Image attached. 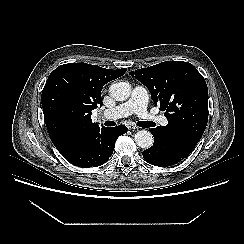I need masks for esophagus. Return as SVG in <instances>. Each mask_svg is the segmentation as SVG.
Wrapping results in <instances>:
<instances>
[{"label": "esophagus", "mask_w": 244, "mask_h": 244, "mask_svg": "<svg viewBox=\"0 0 244 244\" xmlns=\"http://www.w3.org/2000/svg\"><path fill=\"white\" fill-rule=\"evenodd\" d=\"M127 127H128L129 130H136V129H138V127L136 125H134V124H128Z\"/></svg>", "instance_id": "34e87169"}]
</instances>
